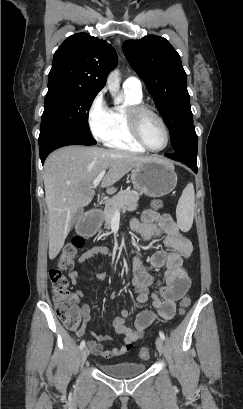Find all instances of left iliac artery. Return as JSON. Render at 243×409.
Returning a JSON list of instances; mask_svg holds the SVG:
<instances>
[{"mask_svg": "<svg viewBox=\"0 0 243 409\" xmlns=\"http://www.w3.org/2000/svg\"><path fill=\"white\" fill-rule=\"evenodd\" d=\"M159 336L162 340H165V335L162 331H159Z\"/></svg>", "mask_w": 243, "mask_h": 409, "instance_id": "left-iliac-artery-1", "label": "left iliac artery"}]
</instances>
